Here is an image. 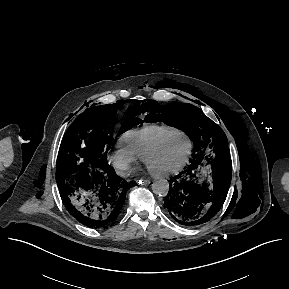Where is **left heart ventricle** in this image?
<instances>
[{
    "label": "left heart ventricle",
    "instance_id": "1",
    "mask_svg": "<svg viewBox=\"0 0 289 289\" xmlns=\"http://www.w3.org/2000/svg\"><path fill=\"white\" fill-rule=\"evenodd\" d=\"M188 142L183 136H175L147 160V167L155 172L171 170L179 166L186 157Z\"/></svg>",
    "mask_w": 289,
    "mask_h": 289
}]
</instances>
